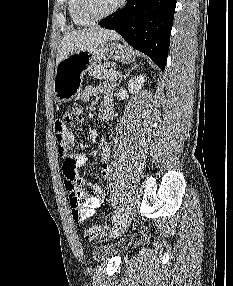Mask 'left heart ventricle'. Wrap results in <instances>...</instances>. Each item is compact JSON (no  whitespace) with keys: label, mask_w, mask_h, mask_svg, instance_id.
I'll return each instance as SVG.
<instances>
[{"label":"left heart ventricle","mask_w":233,"mask_h":286,"mask_svg":"<svg viewBox=\"0 0 233 286\" xmlns=\"http://www.w3.org/2000/svg\"><path fill=\"white\" fill-rule=\"evenodd\" d=\"M118 0H88V7L92 14L99 15L111 9Z\"/></svg>","instance_id":"obj_1"}]
</instances>
